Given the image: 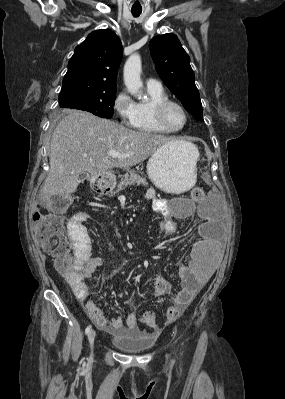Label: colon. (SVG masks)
Listing matches in <instances>:
<instances>
[{
  "label": "colon",
  "mask_w": 285,
  "mask_h": 399,
  "mask_svg": "<svg viewBox=\"0 0 285 399\" xmlns=\"http://www.w3.org/2000/svg\"><path fill=\"white\" fill-rule=\"evenodd\" d=\"M191 198L200 200L205 197V191L202 187L196 186L191 189ZM59 208L70 206L68 200H59L56 204ZM65 223L63 219L55 213L44 214L36 212L30 221V232L36 240L41 251L52 256L58 270L74 279L79 278V269L73 264V255L65 238ZM80 241L78 252L81 257L87 258L91 253L90 241L84 223H80ZM180 315L179 309L171 306L167 309V318L176 319ZM141 322L144 326L158 327L156 314L153 311H145L141 316Z\"/></svg>",
  "instance_id": "5ec220e1"
}]
</instances>
